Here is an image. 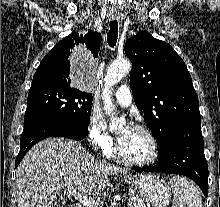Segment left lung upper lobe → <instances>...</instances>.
Masks as SVG:
<instances>
[{"mask_svg":"<svg viewBox=\"0 0 220 207\" xmlns=\"http://www.w3.org/2000/svg\"><path fill=\"white\" fill-rule=\"evenodd\" d=\"M125 53L134 101L159 143L179 124L201 119L191 76L168 43L141 32L126 41Z\"/></svg>","mask_w":220,"mask_h":207,"instance_id":"1","label":"left lung upper lobe"}]
</instances>
